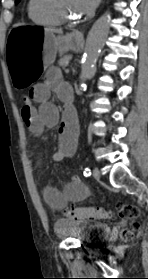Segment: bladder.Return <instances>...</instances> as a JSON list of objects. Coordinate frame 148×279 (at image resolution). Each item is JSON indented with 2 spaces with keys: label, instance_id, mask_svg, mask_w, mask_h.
<instances>
[{
  "label": "bladder",
  "instance_id": "31cf9c89",
  "mask_svg": "<svg viewBox=\"0 0 148 279\" xmlns=\"http://www.w3.org/2000/svg\"><path fill=\"white\" fill-rule=\"evenodd\" d=\"M55 233L60 239H77L87 244L104 241L109 233V226L90 220L58 219L54 224Z\"/></svg>",
  "mask_w": 148,
  "mask_h": 279
}]
</instances>
